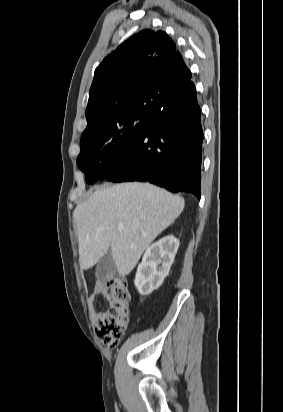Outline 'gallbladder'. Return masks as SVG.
Returning a JSON list of instances; mask_svg holds the SVG:
<instances>
[{
  "label": "gallbladder",
  "instance_id": "obj_1",
  "mask_svg": "<svg viewBox=\"0 0 283 412\" xmlns=\"http://www.w3.org/2000/svg\"><path fill=\"white\" fill-rule=\"evenodd\" d=\"M115 273V261L110 250L100 258L96 267V277L101 281H105Z\"/></svg>",
  "mask_w": 283,
  "mask_h": 412
}]
</instances>
